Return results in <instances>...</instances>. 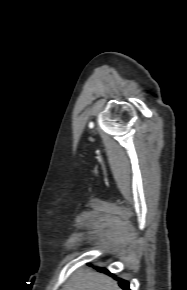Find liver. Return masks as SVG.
I'll return each instance as SVG.
<instances>
[{"mask_svg": "<svg viewBox=\"0 0 187 290\" xmlns=\"http://www.w3.org/2000/svg\"><path fill=\"white\" fill-rule=\"evenodd\" d=\"M66 290H120L117 283L104 275L78 270L71 278Z\"/></svg>", "mask_w": 187, "mask_h": 290, "instance_id": "1", "label": "liver"}]
</instances>
